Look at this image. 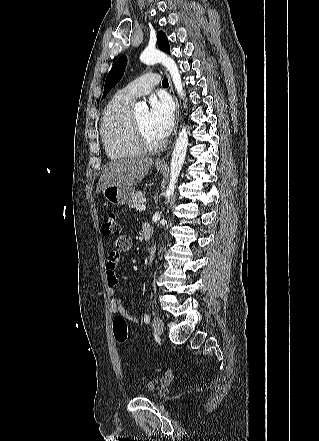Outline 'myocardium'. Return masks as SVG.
<instances>
[{
	"instance_id": "1",
	"label": "myocardium",
	"mask_w": 319,
	"mask_h": 441,
	"mask_svg": "<svg viewBox=\"0 0 319 441\" xmlns=\"http://www.w3.org/2000/svg\"><path fill=\"white\" fill-rule=\"evenodd\" d=\"M132 130L136 145L141 152L153 153L161 150L164 147V141L162 140L156 143L148 141L134 117H132Z\"/></svg>"
}]
</instances>
